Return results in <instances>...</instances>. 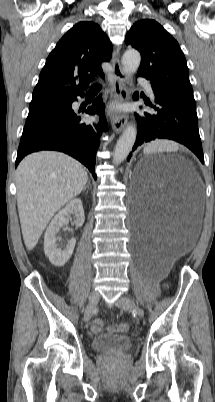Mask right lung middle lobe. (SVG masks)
Instances as JSON below:
<instances>
[{
	"label": "right lung middle lobe",
	"mask_w": 215,
	"mask_h": 402,
	"mask_svg": "<svg viewBox=\"0 0 215 402\" xmlns=\"http://www.w3.org/2000/svg\"><path fill=\"white\" fill-rule=\"evenodd\" d=\"M69 101V99L58 98L32 101L23 133L64 113Z\"/></svg>",
	"instance_id": "1"
}]
</instances>
